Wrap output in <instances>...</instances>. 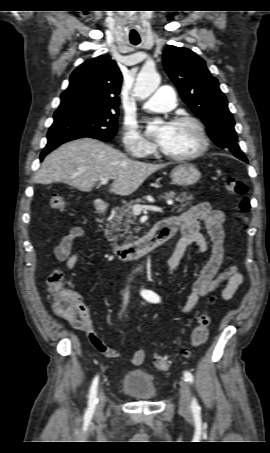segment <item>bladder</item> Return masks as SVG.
I'll use <instances>...</instances> for the list:
<instances>
[{"label": "bladder", "mask_w": 270, "mask_h": 453, "mask_svg": "<svg viewBox=\"0 0 270 453\" xmlns=\"http://www.w3.org/2000/svg\"><path fill=\"white\" fill-rule=\"evenodd\" d=\"M121 390L142 402H150L157 396L154 380L148 373L140 369L131 370L124 375Z\"/></svg>", "instance_id": "obj_1"}]
</instances>
